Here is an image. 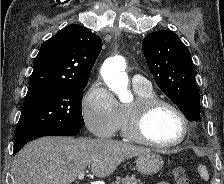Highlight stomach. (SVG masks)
<instances>
[{
  "label": "stomach",
  "mask_w": 224,
  "mask_h": 184,
  "mask_svg": "<svg viewBox=\"0 0 224 184\" xmlns=\"http://www.w3.org/2000/svg\"><path fill=\"white\" fill-rule=\"evenodd\" d=\"M163 165L162 158L151 151L136 158V168L143 175L156 174L162 169Z\"/></svg>",
  "instance_id": "1"
}]
</instances>
